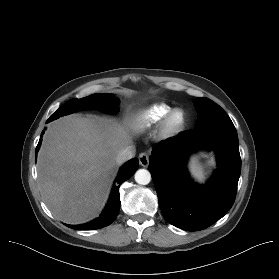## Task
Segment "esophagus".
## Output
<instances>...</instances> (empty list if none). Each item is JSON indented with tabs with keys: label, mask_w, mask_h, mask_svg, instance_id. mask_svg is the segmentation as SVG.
<instances>
[{
	"label": "esophagus",
	"mask_w": 279,
	"mask_h": 279,
	"mask_svg": "<svg viewBox=\"0 0 279 279\" xmlns=\"http://www.w3.org/2000/svg\"><path fill=\"white\" fill-rule=\"evenodd\" d=\"M139 163L143 167H147L149 165V156L146 153H141L138 157Z\"/></svg>",
	"instance_id": "1"
}]
</instances>
